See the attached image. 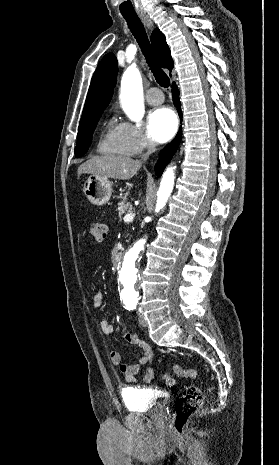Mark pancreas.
Listing matches in <instances>:
<instances>
[{
	"instance_id": "obj_1",
	"label": "pancreas",
	"mask_w": 279,
	"mask_h": 465,
	"mask_svg": "<svg viewBox=\"0 0 279 465\" xmlns=\"http://www.w3.org/2000/svg\"><path fill=\"white\" fill-rule=\"evenodd\" d=\"M132 210V205L130 203H126L125 200L118 203V214L121 217L123 214H126Z\"/></svg>"
}]
</instances>
